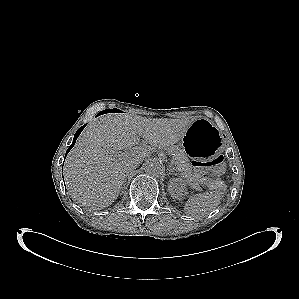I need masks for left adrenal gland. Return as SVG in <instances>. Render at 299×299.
<instances>
[{"instance_id":"a2214340","label":"left adrenal gland","mask_w":299,"mask_h":299,"mask_svg":"<svg viewBox=\"0 0 299 299\" xmlns=\"http://www.w3.org/2000/svg\"><path fill=\"white\" fill-rule=\"evenodd\" d=\"M169 174L172 175H177V173H175V171L173 170V168L171 166H169Z\"/></svg>"}]
</instances>
